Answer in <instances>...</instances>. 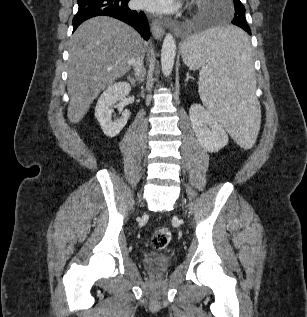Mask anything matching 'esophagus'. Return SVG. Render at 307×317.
Wrapping results in <instances>:
<instances>
[{"label": "esophagus", "instance_id": "1", "mask_svg": "<svg viewBox=\"0 0 307 317\" xmlns=\"http://www.w3.org/2000/svg\"><path fill=\"white\" fill-rule=\"evenodd\" d=\"M151 30H152V34L154 38L157 40H161L162 37L164 36V33H165L164 28L162 27L160 22L157 20H151Z\"/></svg>", "mask_w": 307, "mask_h": 317}]
</instances>
